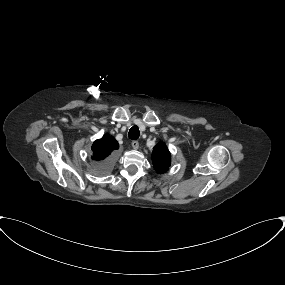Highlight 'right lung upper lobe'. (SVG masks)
I'll return each instance as SVG.
<instances>
[{
  "label": "right lung upper lobe",
  "mask_w": 285,
  "mask_h": 285,
  "mask_svg": "<svg viewBox=\"0 0 285 285\" xmlns=\"http://www.w3.org/2000/svg\"><path fill=\"white\" fill-rule=\"evenodd\" d=\"M119 148L118 142L114 137L104 135L101 139L96 140L92 145V158L96 161L107 159L113 150Z\"/></svg>",
  "instance_id": "cb5924a9"
}]
</instances>
